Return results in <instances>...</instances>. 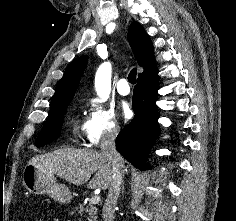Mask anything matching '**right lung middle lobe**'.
I'll list each match as a JSON object with an SVG mask.
<instances>
[{
  "mask_svg": "<svg viewBox=\"0 0 236 221\" xmlns=\"http://www.w3.org/2000/svg\"><path fill=\"white\" fill-rule=\"evenodd\" d=\"M70 101L58 105L50 110L49 117L46 120L42 131L36 139V146L41 147L55 140L61 132L64 121V114Z\"/></svg>",
  "mask_w": 236,
  "mask_h": 221,
  "instance_id": "1",
  "label": "right lung middle lobe"
}]
</instances>
